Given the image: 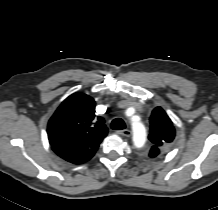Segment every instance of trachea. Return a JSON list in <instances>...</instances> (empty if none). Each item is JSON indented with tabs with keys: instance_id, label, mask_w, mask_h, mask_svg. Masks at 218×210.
Instances as JSON below:
<instances>
[{
	"instance_id": "obj_1",
	"label": "trachea",
	"mask_w": 218,
	"mask_h": 210,
	"mask_svg": "<svg viewBox=\"0 0 218 210\" xmlns=\"http://www.w3.org/2000/svg\"><path fill=\"white\" fill-rule=\"evenodd\" d=\"M113 130H123L126 128L125 122L121 118H116L111 123Z\"/></svg>"
}]
</instances>
